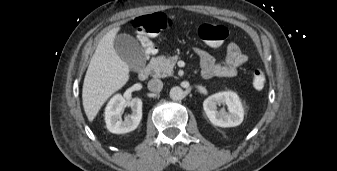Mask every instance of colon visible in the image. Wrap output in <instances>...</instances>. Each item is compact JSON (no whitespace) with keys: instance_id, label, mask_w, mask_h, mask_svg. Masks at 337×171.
Returning a JSON list of instances; mask_svg holds the SVG:
<instances>
[{"instance_id":"1","label":"colon","mask_w":337,"mask_h":171,"mask_svg":"<svg viewBox=\"0 0 337 171\" xmlns=\"http://www.w3.org/2000/svg\"><path fill=\"white\" fill-rule=\"evenodd\" d=\"M133 29L140 35L142 45L141 52L147 58H154L158 52V45L155 41L149 40V36L172 26V20L165 14L157 13L153 15L140 16L134 19ZM198 35L210 50H218L228 36V31L224 26L203 23L198 28ZM266 83L264 72L257 68L252 73V84L256 89H262Z\"/></svg>"}]
</instances>
